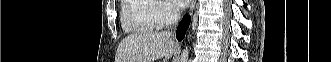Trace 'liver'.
<instances>
[{
	"label": "liver",
	"mask_w": 331,
	"mask_h": 62,
	"mask_svg": "<svg viewBox=\"0 0 331 62\" xmlns=\"http://www.w3.org/2000/svg\"><path fill=\"white\" fill-rule=\"evenodd\" d=\"M175 50L176 44L166 32L141 31L120 42L115 62H154L163 57L167 61Z\"/></svg>",
	"instance_id": "1"
}]
</instances>
